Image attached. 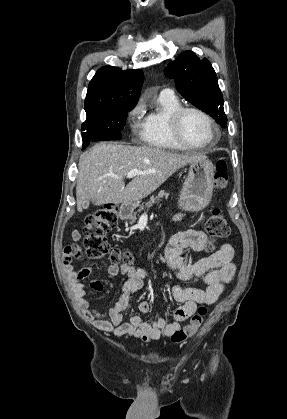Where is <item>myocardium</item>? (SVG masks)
<instances>
[{
  "instance_id": "f54148a6",
  "label": "myocardium",
  "mask_w": 287,
  "mask_h": 419,
  "mask_svg": "<svg viewBox=\"0 0 287 419\" xmlns=\"http://www.w3.org/2000/svg\"><path fill=\"white\" fill-rule=\"evenodd\" d=\"M187 112H194L200 115L207 122L210 131L211 138L203 144H192L188 142L182 135L181 132V121ZM170 129L175 139L183 146L188 149H204L213 145L219 138L218 128L213 119L203 110L194 106H180L175 109L169 116Z\"/></svg>"
}]
</instances>
